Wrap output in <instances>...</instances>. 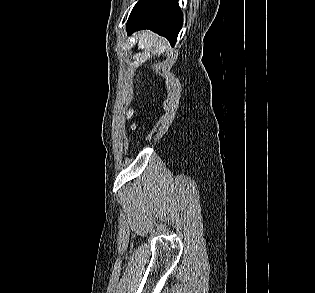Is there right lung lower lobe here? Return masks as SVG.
<instances>
[{
	"mask_svg": "<svg viewBox=\"0 0 315 293\" xmlns=\"http://www.w3.org/2000/svg\"><path fill=\"white\" fill-rule=\"evenodd\" d=\"M183 15L178 0H139L127 21L128 34L150 29L166 37L172 46L182 28Z\"/></svg>",
	"mask_w": 315,
	"mask_h": 293,
	"instance_id": "right-lung-lower-lobe-1",
	"label": "right lung lower lobe"
}]
</instances>
